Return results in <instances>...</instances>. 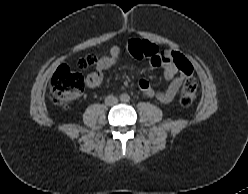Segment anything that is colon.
I'll return each instance as SVG.
<instances>
[{
  "label": "colon",
  "instance_id": "5ec220e1",
  "mask_svg": "<svg viewBox=\"0 0 248 194\" xmlns=\"http://www.w3.org/2000/svg\"><path fill=\"white\" fill-rule=\"evenodd\" d=\"M158 47L148 41L133 40L130 42V54L135 58L141 59L144 57H153ZM175 59L178 62L183 60L182 56L175 53ZM97 58L94 55H88L81 59L76 69L71 68L68 65H61L57 68L53 74L49 89L52 100L56 104H65L70 100L77 97L85 87V80L79 70H90L97 66ZM186 73L189 75L192 72V68L187 66L185 68ZM197 96V82L193 78H189L185 81L181 93L180 103L182 106H190L193 104Z\"/></svg>",
  "mask_w": 248,
  "mask_h": 194
}]
</instances>
